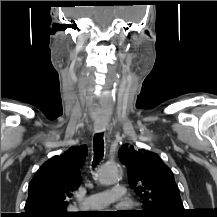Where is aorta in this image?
Here are the masks:
<instances>
[{"label":"aorta","instance_id":"aorta-1","mask_svg":"<svg viewBox=\"0 0 217 217\" xmlns=\"http://www.w3.org/2000/svg\"><path fill=\"white\" fill-rule=\"evenodd\" d=\"M119 178V168L115 164H105L98 172V180L101 184L109 185L115 183Z\"/></svg>","mask_w":217,"mask_h":217}]
</instances>
